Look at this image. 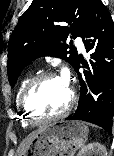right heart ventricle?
<instances>
[{
	"label": "right heart ventricle",
	"instance_id": "right-heart-ventricle-1",
	"mask_svg": "<svg viewBox=\"0 0 114 156\" xmlns=\"http://www.w3.org/2000/svg\"><path fill=\"white\" fill-rule=\"evenodd\" d=\"M30 78H31L30 76L24 78V79L21 81V83H20V85H19V87H18L17 94H16V106H17V108H19V97H20V94H21V92H22L24 86L26 85V83L30 80ZM20 117H21L22 126H23V127L29 126L30 123H28V122L26 121V119L24 118V116H23L22 114H20Z\"/></svg>",
	"mask_w": 114,
	"mask_h": 156
}]
</instances>
